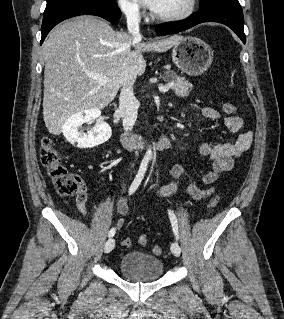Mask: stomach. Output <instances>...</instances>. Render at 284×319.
I'll return each mask as SVG.
<instances>
[{
    "label": "stomach",
    "instance_id": "obj_1",
    "mask_svg": "<svg viewBox=\"0 0 284 319\" xmlns=\"http://www.w3.org/2000/svg\"><path fill=\"white\" fill-rule=\"evenodd\" d=\"M172 60L182 72L189 76H198L210 67L213 51L197 37H182L173 45Z\"/></svg>",
    "mask_w": 284,
    "mask_h": 319
}]
</instances>
